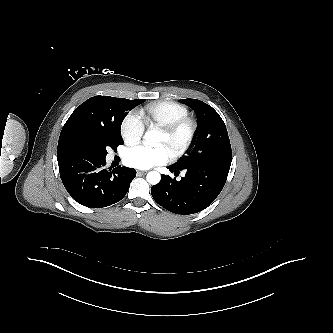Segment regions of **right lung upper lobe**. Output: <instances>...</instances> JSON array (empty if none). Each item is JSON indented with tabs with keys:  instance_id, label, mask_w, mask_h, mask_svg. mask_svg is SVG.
Returning <instances> with one entry per match:
<instances>
[{
	"instance_id": "obj_1",
	"label": "right lung upper lobe",
	"mask_w": 333,
	"mask_h": 333,
	"mask_svg": "<svg viewBox=\"0 0 333 333\" xmlns=\"http://www.w3.org/2000/svg\"><path fill=\"white\" fill-rule=\"evenodd\" d=\"M113 97L94 96L82 103L71 114L65 123L58 142V161L74 152L72 145L73 134L86 122L105 121L109 116V106Z\"/></svg>"
}]
</instances>
